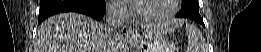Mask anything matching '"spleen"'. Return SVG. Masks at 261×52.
<instances>
[{
	"instance_id": "3e777b00",
	"label": "spleen",
	"mask_w": 261,
	"mask_h": 52,
	"mask_svg": "<svg viewBox=\"0 0 261 52\" xmlns=\"http://www.w3.org/2000/svg\"><path fill=\"white\" fill-rule=\"evenodd\" d=\"M186 31L188 34V41L190 45H194L195 43V35H200V31L194 26V25H190L187 24L186 25Z\"/></svg>"
}]
</instances>
